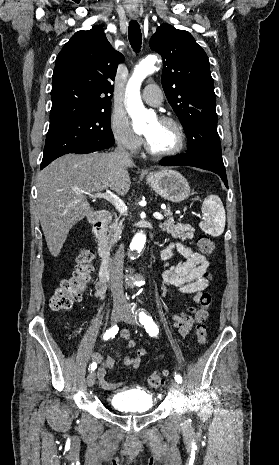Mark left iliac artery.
<instances>
[{
    "mask_svg": "<svg viewBox=\"0 0 279 465\" xmlns=\"http://www.w3.org/2000/svg\"><path fill=\"white\" fill-rule=\"evenodd\" d=\"M139 321L145 327L147 333H149L150 336L156 337L158 335L159 329L151 316L141 311L139 313ZM175 380L177 381V383H181L182 377L179 374H176Z\"/></svg>",
    "mask_w": 279,
    "mask_h": 465,
    "instance_id": "left-iliac-artery-1",
    "label": "left iliac artery"
}]
</instances>
